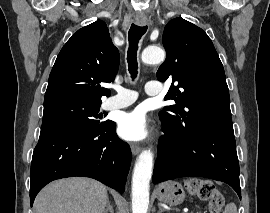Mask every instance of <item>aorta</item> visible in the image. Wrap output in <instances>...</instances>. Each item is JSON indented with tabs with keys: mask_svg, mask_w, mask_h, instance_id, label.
<instances>
[{
	"mask_svg": "<svg viewBox=\"0 0 270 213\" xmlns=\"http://www.w3.org/2000/svg\"><path fill=\"white\" fill-rule=\"evenodd\" d=\"M164 58L165 52L157 46L145 48L141 55L142 61L146 64H157ZM153 156L151 150H143L135 163L132 176V213H147Z\"/></svg>",
	"mask_w": 270,
	"mask_h": 213,
	"instance_id": "1",
	"label": "aorta"
}]
</instances>
